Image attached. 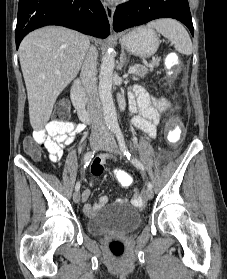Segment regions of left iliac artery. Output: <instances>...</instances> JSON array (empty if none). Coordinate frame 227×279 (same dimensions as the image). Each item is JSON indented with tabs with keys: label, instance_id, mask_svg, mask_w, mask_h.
<instances>
[{
	"label": "left iliac artery",
	"instance_id": "obj_1",
	"mask_svg": "<svg viewBox=\"0 0 227 279\" xmlns=\"http://www.w3.org/2000/svg\"><path fill=\"white\" fill-rule=\"evenodd\" d=\"M115 133H116V138H117V141L119 143L120 149L123 152V154L131 161V163L135 167H137L141 170H144V167H143L142 163L137 158L133 157L131 155V153L129 152L126 141L124 139V135H123L121 129L115 130ZM147 186H148L149 189L153 188V185H152L151 182H148Z\"/></svg>",
	"mask_w": 227,
	"mask_h": 279
}]
</instances>
